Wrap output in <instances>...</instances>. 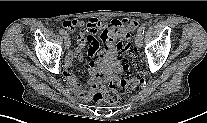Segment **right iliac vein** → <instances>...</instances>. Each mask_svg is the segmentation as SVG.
Returning <instances> with one entry per match:
<instances>
[{"instance_id": "1", "label": "right iliac vein", "mask_w": 207, "mask_h": 123, "mask_svg": "<svg viewBox=\"0 0 207 123\" xmlns=\"http://www.w3.org/2000/svg\"><path fill=\"white\" fill-rule=\"evenodd\" d=\"M64 43H65V46H66V48H69L70 47V45H71V41H70V38H69V36H65L64 37Z\"/></svg>"}]
</instances>
